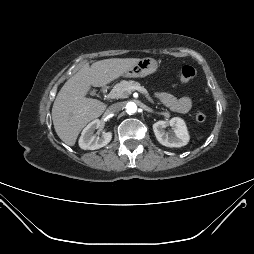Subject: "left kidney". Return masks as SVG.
I'll return each instance as SVG.
<instances>
[{
	"mask_svg": "<svg viewBox=\"0 0 254 254\" xmlns=\"http://www.w3.org/2000/svg\"><path fill=\"white\" fill-rule=\"evenodd\" d=\"M167 126L173 127L171 133H165ZM154 134L162 145L166 147H182L189 142V134L183 119L174 117L169 121H158L153 124Z\"/></svg>",
	"mask_w": 254,
	"mask_h": 254,
	"instance_id": "obj_1",
	"label": "left kidney"
}]
</instances>
